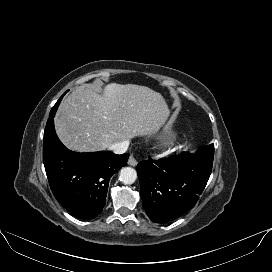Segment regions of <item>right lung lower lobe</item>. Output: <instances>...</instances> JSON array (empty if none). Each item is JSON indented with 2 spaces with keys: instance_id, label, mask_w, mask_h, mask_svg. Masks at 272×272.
I'll use <instances>...</instances> for the list:
<instances>
[{
  "instance_id": "right-lung-lower-lobe-1",
  "label": "right lung lower lobe",
  "mask_w": 272,
  "mask_h": 272,
  "mask_svg": "<svg viewBox=\"0 0 272 272\" xmlns=\"http://www.w3.org/2000/svg\"><path fill=\"white\" fill-rule=\"evenodd\" d=\"M62 97L52 108L46 124L43 162L57 201L75 217L90 220L105 206L109 180L126 165L129 154L77 153L67 149L55 133L53 119Z\"/></svg>"
}]
</instances>
